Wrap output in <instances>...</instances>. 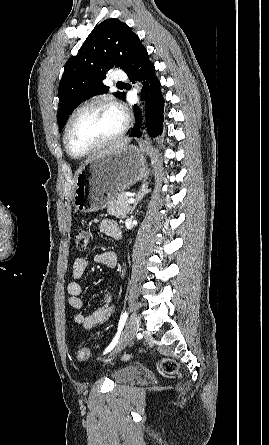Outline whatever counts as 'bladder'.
Wrapping results in <instances>:
<instances>
[{"mask_svg": "<svg viewBox=\"0 0 269 445\" xmlns=\"http://www.w3.org/2000/svg\"><path fill=\"white\" fill-rule=\"evenodd\" d=\"M140 372L137 366H126L116 370L112 378L117 383H124L136 377Z\"/></svg>", "mask_w": 269, "mask_h": 445, "instance_id": "bladder-1", "label": "bladder"}]
</instances>
